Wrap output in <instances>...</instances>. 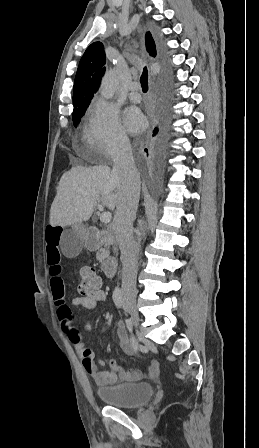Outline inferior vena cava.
I'll return each instance as SVG.
<instances>
[{
    "mask_svg": "<svg viewBox=\"0 0 259 448\" xmlns=\"http://www.w3.org/2000/svg\"><path fill=\"white\" fill-rule=\"evenodd\" d=\"M113 174L118 176L119 192L113 232L121 250L123 264L122 298L125 304L135 302L138 250L133 240L139 196L140 176L135 166L130 140L117 138L113 146Z\"/></svg>",
    "mask_w": 259,
    "mask_h": 448,
    "instance_id": "obj_1",
    "label": "inferior vena cava"
}]
</instances>
